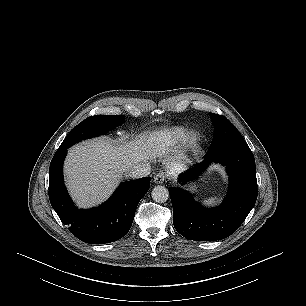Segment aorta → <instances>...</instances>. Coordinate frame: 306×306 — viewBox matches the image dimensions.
Segmentation results:
<instances>
[{"label":"aorta","mask_w":306,"mask_h":306,"mask_svg":"<svg viewBox=\"0 0 306 306\" xmlns=\"http://www.w3.org/2000/svg\"><path fill=\"white\" fill-rule=\"evenodd\" d=\"M152 198L157 203L166 202L169 198V191L166 187L158 185L152 190Z\"/></svg>","instance_id":"1"}]
</instances>
